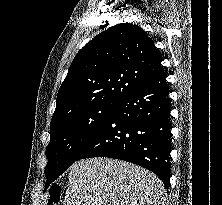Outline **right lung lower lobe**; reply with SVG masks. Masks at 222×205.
Instances as JSON below:
<instances>
[{"instance_id": "1", "label": "right lung lower lobe", "mask_w": 222, "mask_h": 205, "mask_svg": "<svg viewBox=\"0 0 222 205\" xmlns=\"http://www.w3.org/2000/svg\"><path fill=\"white\" fill-rule=\"evenodd\" d=\"M164 71L131 90L77 157L125 160L154 172L169 187L171 122Z\"/></svg>"}]
</instances>
